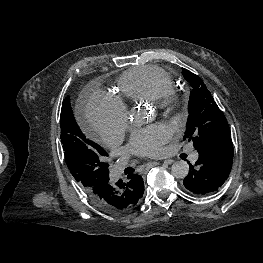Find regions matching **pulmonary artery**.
<instances>
[{
  "label": "pulmonary artery",
  "mask_w": 263,
  "mask_h": 263,
  "mask_svg": "<svg viewBox=\"0 0 263 263\" xmlns=\"http://www.w3.org/2000/svg\"><path fill=\"white\" fill-rule=\"evenodd\" d=\"M198 159V153L196 151H192L190 154V160L192 162H195ZM125 165V161H119L116 168H115V176H118L120 172L122 171L123 167Z\"/></svg>",
  "instance_id": "1"
}]
</instances>
